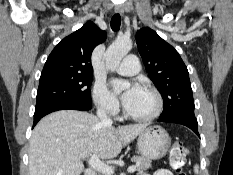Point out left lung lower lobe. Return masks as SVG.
<instances>
[{
	"label": "left lung lower lobe",
	"mask_w": 233,
	"mask_h": 175,
	"mask_svg": "<svg viewBox=\"0 0 233 175\" xmlns=\"http://www.w3.org/2000/svg\"><path fill=\"white\" fill-rule=\"evenodd\" d=\"M158 121L171 122V123L185 125L199 136L198 123H197V119L195 118V115H175V116H170L166 118L159 117Z\"/></svg>",
	"instance_id": "obj_1"
}]
</instances>
